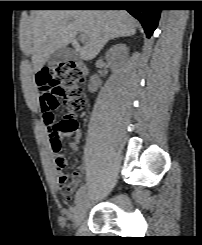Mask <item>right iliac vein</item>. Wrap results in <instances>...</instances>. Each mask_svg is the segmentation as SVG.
<instances>
[{"label":"right iliac vein","mask_w":202,"mask_h":245,"mask_svg":"<svg viewBox=\"0 0 202 245\" xmlns=\"http://www.w3.org/2000/svg\"><path fill=\"white\" fill-rule=\"evenodd\" d=\"M88 204L87 199L82 197L79 202L76 204L74 211H73V222L75 226H78L84 216L87 213Z\"/></svg>","instance_id":"obj_1"}]
</instances>
